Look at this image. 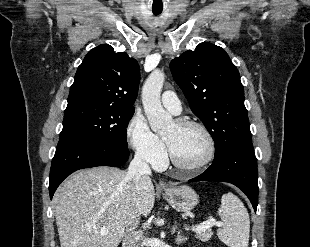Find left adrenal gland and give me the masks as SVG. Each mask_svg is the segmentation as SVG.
<instances>
[{"label":"left adrenal gland","mask_w":310,"mask_h":247,"mask_svg":"<svg viewBox=\"0 0 310 247\" xmlns=\"http://www.w3.org/2000/svg\"><path fill=\"white\" fill-rule=\"evenodd\" d=\"M177 226L173 227V233L176 231ZM177 244H182L187 241V236L181 235L180 231L177 234V238L175 239Z\"/></svg>","instance_id":"a2214340"}]
</instances>
